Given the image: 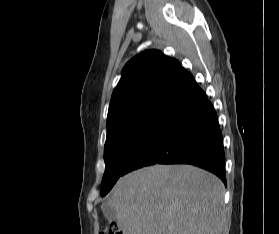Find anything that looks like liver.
<instances>
[{
    "label": "liver",
    "mask_w": 279,
    "mask_h": 234,
    "mask_svg": "<svg viewBox=\"0 0 279 234\" xmlns=\"http://www.w3.org/2000/svg\"><path fill=\"white\" fill-rule=\"evenodd\" d=\"M224 185L191 165H154L120 178L105 205L123 234H221Z\"/></svg>",
    "instance_id": "6515ba94"
}]
</instances>
